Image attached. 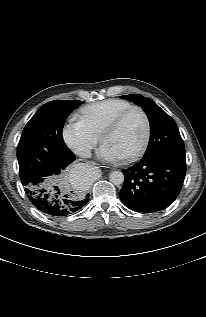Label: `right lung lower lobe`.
<instances>
[{"mask_svg": "<svg viewBox=\"0 0 206 317\" xmlns=\"http://www.w3.org/2000/svg\"><path fill=\"white\" fill-rule=\"evenodd\" d=\"M57 165L64 170L75 160V155L68 150L57 154ZM47 176L39 177L24 185L25 193L31 203L40 211L52 216H66L80 210L89 200L88 195L67 191L61 186H51Z\"/></svg>", "mask_w": 206, "mask_h": 317, "instance_id": "right-lung-lower-lobe-1", "label": "right lung lower lobe"}]
</instances>
